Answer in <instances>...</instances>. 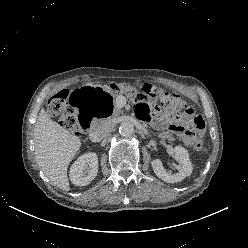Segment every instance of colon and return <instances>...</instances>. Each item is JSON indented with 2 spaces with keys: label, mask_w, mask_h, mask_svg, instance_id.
Wrapping results in <instances>:
<instances>
[{
  "label": "colon",
  "mask_w": 248,
  "mask_h": 248,
  "mask_svg": "<svg viewBox=\"0 0 248 248\" xmlns=\"http://www.w3.org/2000/svg\"><path fill=\"white\" fill-rule=\"evenodd\" d=\"M118 93H128L138 104H148L157 99L160 104L172 113L183 112L190 116L189 126L192 130L201 132L205 128V120L201 115H196L191 107H188L176 94H172L161 89L152 88L145 85L142 89H137L126 83H118L112 86ZM70 94L67 90L55 93L48 104L49 114L55 118L59 124L74 135H79L82 126V118L85 113L75 111L70 105ZM196 150H202L204 143L196 139L193 143Z\"/></svg>",
  "instance_id": "1"
}]
</instances>
